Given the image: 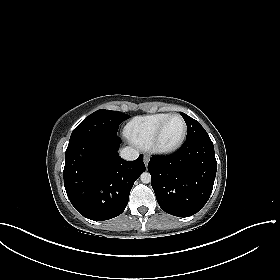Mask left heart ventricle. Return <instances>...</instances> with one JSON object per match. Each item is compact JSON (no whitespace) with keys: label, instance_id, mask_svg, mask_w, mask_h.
<instances>
[{"label":"left heart ventricle","instance_id":"left-heart-ventricle-1","mask_svg":"<svg viewBox=\"0 0 280 280\" xmlns=\"http://www.w3.org/2000/svg\"><path fill=\"white\" fill-rule=\"evenodd\" d=\"M183 132V122L180 118L174 117L167 123L163 135L161 137V143L168 145L174 143L179 139Z\"/></svg>","mask_w":280,"mask_h":280}]
</instances>
